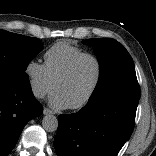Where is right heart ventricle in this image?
Returning <instances> with one entry per match:
<instances>
[{
	"mask_svg": "<svg viewBox=\"0 0 156 156\" xmlns=\"http://www.w3.org/2000/svg\"><path fill=\"white\" fill-rule=\"evenodd\" d=\"M84 51L66 41H60L51 46L44 55V65L55 83L70 62Z\"/></svg>",
	"mask_w": 156,
	"mask_h": 156,
	"instance_id": "e07e8e85",
	"label": "right heart ventricle"
}]
</instances>
